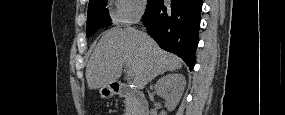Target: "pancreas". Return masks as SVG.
<instances>
[{"mask_svg":"<svg viewBox=\"0 0 285 115\" xmlns=\"http://www.w3.org/2000/svg\"><path fill=\"white\" fill-rule=\"evenodd\" d=\"M124 103H125V108H126L125 112L128 115V113L131 112L133 108V97L131 95L126 96Z\"/></svg>","mask_w":285,"mask_h":115,"instance_id":"cf45deb5","label":"pancreas"}]
</instances>
